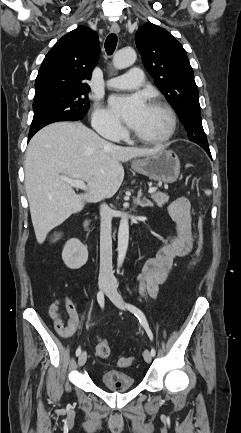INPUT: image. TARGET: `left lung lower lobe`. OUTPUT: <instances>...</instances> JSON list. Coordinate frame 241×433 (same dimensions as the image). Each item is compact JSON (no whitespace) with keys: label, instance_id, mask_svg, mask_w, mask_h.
<instances>
[{"label":"left lung lower lobe","instance_id":"1","mask_svg":"<svg viewBox=\"0 0 241 433\" xmlns=\"http://www.w3.org/2000/svg\"><path fill=\"white\" fill-rule=\"evenodd\" d=\"M203 149L207 152V154L211 157V153L209 147H203ZM212 158V157H211Z\"/></svg>","mask_w":241,"mask_h":433}]
</instances>
